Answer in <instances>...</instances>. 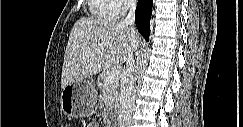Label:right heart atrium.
<instances>
[{
    "mask_svg": "<svg viewBox=\"0 0 243 127\" xmlns=\"http://www.w3.org/2000/svg\"><path fill=\"white\" fill-rule=\"evenodd\" d=\"M115 3V15L125 14L133 5L131 0H114Z\"/></svg>",
    "mask_w": 243,
    "mask_h": 127,
    "instance_id": "1",
    "label": "right heart atrium"
}]
</instances>
